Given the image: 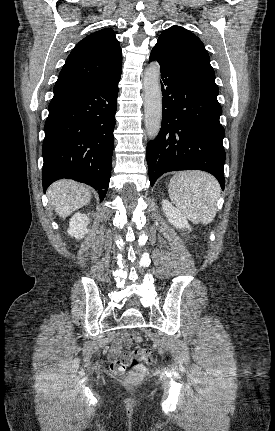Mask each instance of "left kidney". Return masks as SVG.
<instances>
[{
    "mask_svg": "<svg viewBox=\"0 0 275 431\" xmlns=\"http://www.w3.org/2000/svg\"><path fill=\"white\" fill-rule=\"evenodd\" d=\"M162 209L164 214L168 218V221L178 229H188L191 230V226L188 223L187 218L168 200L162 201Z\"/></svg>",
    "mask_w": 275,
    "mask_h": 431,
    "instance_id": "5707ae66",
    "label": "left kidney"
}]
</instances>
